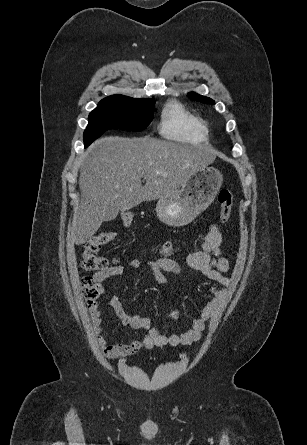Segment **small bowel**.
<instances>
[{
  "mask_svg": "<svg viewBox=\"0 0 307 445\" xmlns=\"http://www.w3.org/2000/svg\"><path fill=\"white\" fill-rule=\"evenodd\" d=\"M222 243V232L220 228L213 223L209 226L200 249L187 256V264L192 270L201 273L205 278L216 284L209 287L212 298L205 302L203 308L192 320L189 327L180 334H162L158 328L151 327L148 318L131 313L123 307L120 299L114 296L110 299L109 303L115 315L131 328L143 330L145 336L142 340H133L129 343H113L101 334V312L97 307H93L91 310V320L97 333L98 343L105 356L109 359H119L123 356L133 355L143 347L147 349L160 346L176 347L179 345H189L199 340L206 322L212 317L213 312L224 297L225 290L219 285L225 286L228 283V278L224 273L230 270V262L228 259L222 257ZM145 264L156 280H160L163 273L181 276L183 272L179 263L168 258L149 260ZM128 266L135 270H140L143 265L139 259L133 258L128 262ZM124 273L125 268L122 265H114L104 271L96 272L92 277L98 285L100 294H102L104 291L102 284L106 280L113 277H121ZM170 318L175 320L177 318V312H172Z\"/></svg>",
  "mask_w": 307,
  "mask_h": 445,
  "instance_id": "c3829d8e",
  "label": "small bowel"
}]
</instances>
